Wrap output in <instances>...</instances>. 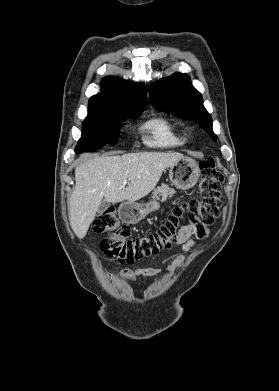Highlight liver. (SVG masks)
Instances as JSON below:
<instances>
[{
    "label": "liver",
    "mask_w": 279,
    "mask_h": 391,
    "mask_svg": "<svg viewBox=\"0 0 279 391\" xmlns=\"http://www.w3.org/2000/svg\"><path fill=\"white\" fill-rule=\"evenodd\" d=\"M182 158L183 154L177 152H138L94 156L79 164L69 202L70 225L76 236L85 237L103 198L117 203L145 197L155 188L163 171Z\"/></svg>",
    "instance_id": "1"
}]
</instances>
